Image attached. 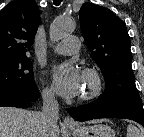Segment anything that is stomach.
<instances>
[{"label":"stomach","mask_w":144,"mask_h":137,"mask_svg":"<svg viewBox=\"0 0 144 137\" xmlns=\"http://www.w3.org/2000/svg\"><path fill=\"white\" fill-rule=\"evenodd\" d=\"M70 132L74 137H116L114 130L105 124L82 126Z\"/></svg>","instance_id":"1"}]
</instances>
